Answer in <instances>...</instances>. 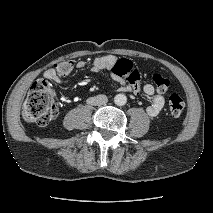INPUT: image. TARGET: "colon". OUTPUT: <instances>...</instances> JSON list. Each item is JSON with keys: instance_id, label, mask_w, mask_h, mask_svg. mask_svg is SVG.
Returning <instances> with one entry per match:
<instances>
[{"instance_id": "5ec220e1", "label": "colon", "mask_w": 213, "mask_h": 213, "mask_svg": "<svg viewBox=\"0 0 213 213\" xmlns=\"http://www.w3.org/2000/svg\"><path fill=\"white\" fill-rule=\"evenodd\" d=\"M74 62L71 60L62 61L55 64L57 73L61 76H67ZM133 63L127 59H120L116 62L112 72L119 77H127L133 71ZM153 82L159 93H164L170 86V81L159 73L153 74ZM169 110L173 116H179L185 103L178 94H171L169 97ZM58 115V106L55 101L54 91L51 86L42 79L36 80L27 95L22 109V116L26 122L37 125H48L53 122Z\"/></svg>"}]
</instances>
